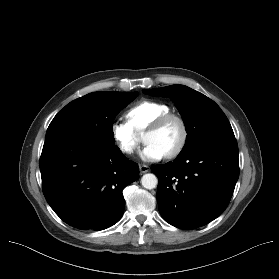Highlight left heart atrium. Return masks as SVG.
<instances>
[{"instance_id": "1", "label": "left heart atrium", "mask_w": 279, "mask_h": 279, "mask_svg": "<svg viewBox=\"0 0 279 279\" xmlns=\"http://www.w3.org/2000/svg\"><path fill=\"white\" fill-rule=\"evenodd\" d=\"M141 156L147 161H158L162 159L165 154L154 144H146Z\"/></svg>"}]
</instances>
